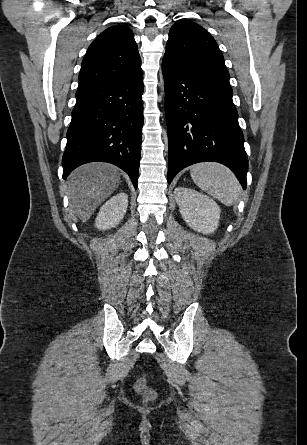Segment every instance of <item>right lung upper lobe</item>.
Returning <instances> with one entry per match:
<instances>
[{"instance_id":"obj_1","label":"right lung upper lobe","mask_w":307,"mask_h":445,"mask_svg":"<svg viewBox=\"0 0 307 445\" xmlns=\"http://www.w3.org/2000/svg\"><path fill=\"white\" fill-rule=\"evenodd\" d=\"M140 69L141 58L131 29L112 26L89 46L82 61L78 89L117 81Z\"/></svg>"}]
</instances>
